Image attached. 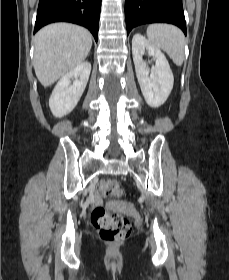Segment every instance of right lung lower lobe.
Instances as JSON below:
<instances>
[{"mask_svg":"<svg viewBox=\"0 0 229 280\" xmlns=\"http://www.w3.org/2000/svg\"><path fill=\"white\" fill-rule=\"evenodd\" d=\"M101 0H40L34 33L53 22H71L86 27L98 39Z\"/></svg>","mask_w":229,"mask_h":280,"instance_id":"right-lung-lower-lobe-1","label":"right lung lower lobe"}]
</instances>
